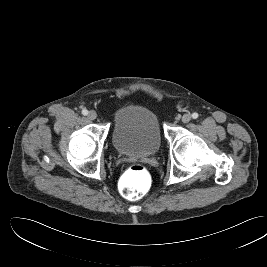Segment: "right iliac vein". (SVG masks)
I'll list each match as a JSON object with an SVG mask.
<instances>
[{"instance_id":"obj_1","label":"right iliac vein","mask_w":267,"mask_h":267,"mask_svg":"<svg viewBox=\"0 0 267 267\" xmlns=\"http://www.w3.org/2000/svg\"><path fill=\"white\" fill-rule=\"evenodd\" d=\"M88 118L90 120H95L97 118V113L95 111H93V110L89 111Z\"/></svg>"}]
</instances>
